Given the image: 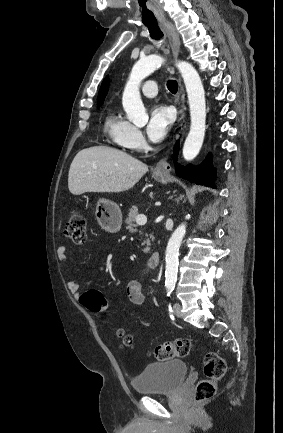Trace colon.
<instances>
[{
    "label": "colon",
    "mask_w": 283,
    "mask_h": 433,
    "mask_svg": "<svg viewBox=\"0 0 283 433\" xmlns=\"http://www.w3.org/2000/svg\"><path fill=\"white\" fill-rule=\"evenodd\" d=\"M64 233L76 244H83L87 240V224L84 215L81 212L74 211L69 216L65 226ZM80 303L89 311L96 315H102L107 309V301L104 296L97 290H89L81 295ZM116 338L120 341L122 348L130 349L133 347V337L127 334L123 329L116 330ZM192 343L187 338H178L173 341L164 342L152 350V355L158 360H170L173 358H182L190 354ZM204 375L195 390L197 401H204L211 398L217 389L219 381L226 372V363L224 359L215 352L206 354L204 358Z\"/></svg>",
    "instance_id": "5ec220e1"
}]
</instances>
